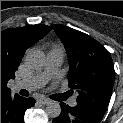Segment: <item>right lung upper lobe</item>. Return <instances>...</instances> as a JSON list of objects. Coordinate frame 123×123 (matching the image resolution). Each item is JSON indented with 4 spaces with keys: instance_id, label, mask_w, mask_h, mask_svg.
I'll use <instances>...</instances> for the list:
<instances>
[{
    "instance_id": "cb5924a9",
    "label": "right lung upper lobe",
    "mask_w": 123,
    "mask_h": 123,
    "mask_svg": "<svg viewBox=\"0 0 123 123\" xmlns=\"http://www.w3.org/2000/svg\"><path fill=\"white\" fill-rule=\"evenodd\" d=\"M50 30V26L38 24L9 28L1 32V99L11 96L7 83L15 77V71L26 49Z\"/></svg>"
}]
</instances>
